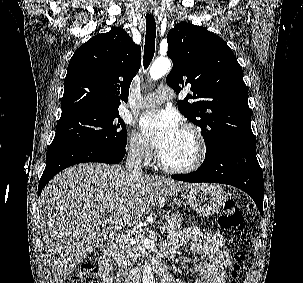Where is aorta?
<instances>
[{"label":"aorta","instance_id":"aorta-1","mask_svg":"<svg viewBox=\"0 0 303 283\" xmlns=\"http://www.w3.org/2000/svg\"><path fill=\"white\" fill-rule=\"evenodd\" d=\"M170 68L171 61L168 58L156 59L150 68V77L157 80L170 71ZM142 283H156L152 269L147 262L143 266Z\"/></svg>","mask_w":303,"mask_h":283}]
</instances>
